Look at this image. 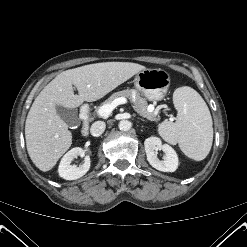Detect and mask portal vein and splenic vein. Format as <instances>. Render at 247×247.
I'll use <instances>...</instances> for the list:
<instances>
[{
  "mask_svg": "<svg viewBox=\"0 0 247 247\" xmlns=\"http://www.w3.org/2000/svg\"><path fill=\"white\" fill-rule=\"evenodd\" d=\"M126 103H127V99L125 97L116 98L112 103L101 106L98 109V115L100 117H108L118 105L126 104ZM153 110L154 107L151 106L149 111L153 112Z\"/></svg>",
  "mask_w": 247,
  "mask_h": 247,
  "instance_id": "1",
  "label": "portal vein and splenic vein"
}]
</instances>
